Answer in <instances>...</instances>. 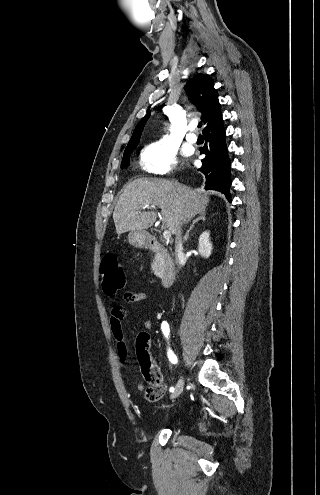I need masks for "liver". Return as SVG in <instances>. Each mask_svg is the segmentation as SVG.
<instances>
[{"label":"liver","instance_id":"6515ba94","mask_svg":"<svg viewBox=\"0 0 320 495\" xmlns=\"http://www.w3.org/2000/svg\"><path fill=\"white\" fill-rule=\"evenodd\" d=\"M210 199L206 193L163 179L138 178L129 182L113 212L118 235L150 228L157 219L155 212L142 211L146 206L161 209L162 223L176 234L183 223L204 211Z\"/></svg>","mask_w":320,"mask_h":495}]
</instances>
